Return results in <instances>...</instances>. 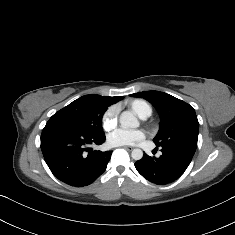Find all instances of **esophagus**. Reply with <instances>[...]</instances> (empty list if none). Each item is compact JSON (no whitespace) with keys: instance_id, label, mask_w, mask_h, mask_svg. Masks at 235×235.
<instances>
[{"instance_id":"34e87169","label":"esophagus","mask_w":235,"mask_h":235,"mask_svg":"<svg viewBox=\"0 0 235 235\" xmlns=\"http://www.w3.org/2000/svg\"><path fill=\"white\" fill-rule=\"evenodd\" d=\"M122 148L128 150V151H131L133 150V147L132 146H122Z\"/></svg>"}]
</instances>
